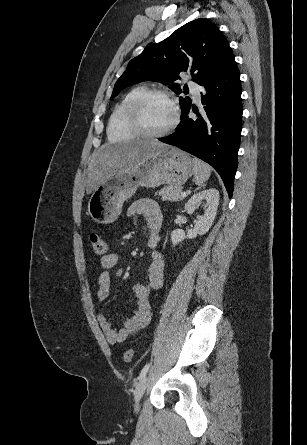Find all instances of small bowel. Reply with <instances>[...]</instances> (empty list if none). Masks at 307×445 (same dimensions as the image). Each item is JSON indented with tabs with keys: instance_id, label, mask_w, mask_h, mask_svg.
I'll use <instances>...</instances> for the list:
<instances>
[{
	"instance_id": "1",
	"label": "small bowel",
	"mask_w": 307,
	"mask_h": 445,
	"mask_svg": "<svg viewBox=\"0 0 307 445\" xmlns=\"http://www.w3.org/2000/svg\"><path fill=\"white\" fill-rule=\"evenodd\" d=\"M130 217L143 216L148 231V247L153 250V259L149 267L147 282L134 285L133 294L136 298V308L125 319L122 327L115 328L108 316L100 314L98 323L110 344L122 343L129 336L144 328L151 319L150 295L153 290L162 287L165 264L161 254L156 250L161 234L162 212L158 203L152 199H140L127 210ZM118 256L114 253L101 257L102 271L97 279L96 300L105 302L110 293V270L117 264Z\"/></svg>"
}]
</instances>
